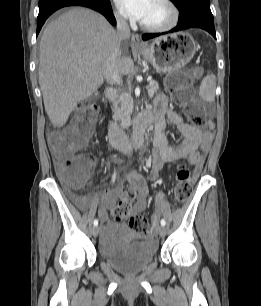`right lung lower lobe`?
Returning a JSON list of instances; mask_svg holds the SVG:
<instances>
[{
  "mask_svg": "<svg viewBox=\"0 0 261 306\" xmlns=\"http://www.w3.org/2000/svg\"><path fill=\"white\" fill-rule=\"evenodd\" d=\"M80 5L92 8L103 14L111 24H115L110 2L101 0H39V14L37 18V34L40 32L46 19L56 10L66 7Z\"/></svg>",
  "mask_w": 261,
  "mask_h": 306,
  "instance_id": "1",
  "label": "right lung lower lobe"
}]
</instances>
